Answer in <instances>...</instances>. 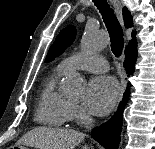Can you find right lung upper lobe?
<instances>
[{
  "label": "right lung upper lobe",
  "instance_id": "right-lung-upper-lobe-1",
  "mask_svg": "<svg viewBox=\"0 0 155 149\" xmlns=\"http://www.w3.org/2000/svg\"><path fill=\"white\" fill-rule=\"evenodd\" d=\"M123 18L124 24L126 28L132 26V16L126 7L123 9ZM133 39L130 41L129 46L126 48V53L136 54V42H135V34H132Z\"/></svg>",
  "mask_w": 155,
  "mask_h": 149
}]
</instances>
